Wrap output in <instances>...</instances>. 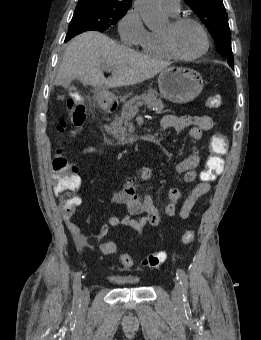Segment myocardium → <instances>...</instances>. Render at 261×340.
Wrapping results in <instances>:
<instances>
[{
	"mask_svg": "<svg viewBox=\"0 0 261 340\" xmlns=\"http://www.w3.org/2000/svg\"><path fill=\"white\" fill-rule=\"evenodd\" d=\"M186 23L194 24L200 30L203 36L204 46L198 53L194 55L180 54L173 45L171 33H160V38H161V42L163 44L164 49L171 57H174L182 61H194V60L201 58L203 55H205L208 52L209 47H210V39H209L208 32L206 28L204 27V25L199 20L193 17H188V16L174 17L170 21V27L173 30Z\"/></svg>",
	"mask_w": 261,
	"mask_h": 340,
	"instance_id": "obj_1",
	"label": "myocardium"
}]
</instances>
